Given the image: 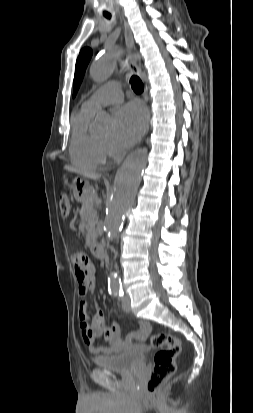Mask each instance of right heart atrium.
Here are the masks:
<instances>
[{
  "mask_svg": "<svg viewBox=\"0 0 253 413\" xmlns=\"http://www.w3.org/2000/svg\"><path fill=\"white\" fill-rule=\"evenodd\" d=\"M104 148H105L107 155H115L117 152L116 147L111 142H108V141L104 142Z\"/></svg>",
  "mask_w": 253,
  "mask_h": 413,
  "instance_id": "1",
  "label": "right heart atrium"
}]
</instances>
